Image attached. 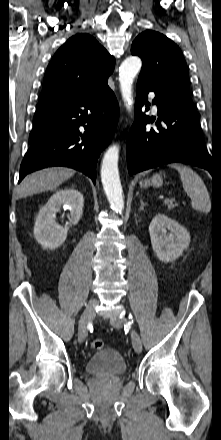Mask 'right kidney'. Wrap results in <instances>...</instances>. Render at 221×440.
<instances>
[{
    "label": "right kidney",
    "instance_id": "obj_1",
    "mask_svg": "<svg viewBox=\"0 0 221 440\" xmlns=\"http://www.w3.org/2000/svg\"><path fill=\"white\" fill-rule=\"evenodd\" d=\"M83 195L76 189L56 191L41 208L34 226V237L44 249L59 247L67 237L69 226L76 225L83 214ZM61 207L70 211L69 222L63 227L56 223V214Z\"/></svg>",
    "mask_w": 221,
    "mask_h": 440
}]
</instances>
